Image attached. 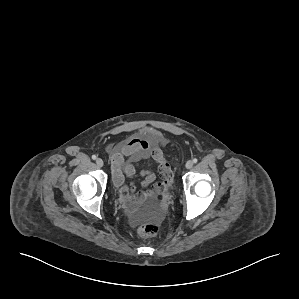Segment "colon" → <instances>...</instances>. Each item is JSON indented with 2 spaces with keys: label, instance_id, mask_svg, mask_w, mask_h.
Segmentation results:
<instances>
[{
  "label": "colon",
  "instance_id": "5ec220e1",
  "mask_svg": "<svg viewBox=\"0 0 299 299\" xmlns=\"http://www.w3.org/2000/svg\"><path fill=\"white\" fill-rule=\"evenodd\" d=\"M159 232V227L154 223H148L142 226L139 233L143 237H153Z\"/></svg>",
  "mask_w": 299,
  "mask_h": 299
}]
</instances>
